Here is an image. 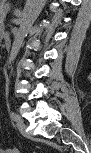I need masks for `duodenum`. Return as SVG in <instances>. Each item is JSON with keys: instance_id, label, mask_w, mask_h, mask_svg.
I'll use <instances>...</instances> for the list:
<instances>
[{"instance_id": "duodenum-1", "label": "duodenum", "mask_w": 91, "mask_h": 153, "mask_svg": "<svg viewBox=\"0 0 91 153\" xmlns=\"http://www.w3.org/2000/svg\"><path fill=\"white\" fill-rule=\"evenodd\" d=\"M5 43H6V44H9V43H10V39L6 37V38H5Z\"/></svg>"}]
</instances>
